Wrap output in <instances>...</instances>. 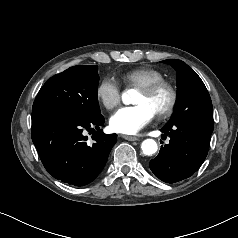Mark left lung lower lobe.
Masks as SVG:
<instances>
[{
  "label": "left lung lower lobe",
  "mask_w": 238,
  "mask_h": 238,
  "mask_svg": "<svg viewBox=\"0 0 238 238\" xmlns=\"http://www.w3.org/2000/svg\"><path fill=\"white\" fill-rule=\"evenodd\" d=\"M213 128L186 123L167 124L162 136L169 135V144L161 146L149 167L160 180L175 183L192 176L204 162Z\"/></svg>",
  "instance_id": "obj_1"
}]
</instances>
